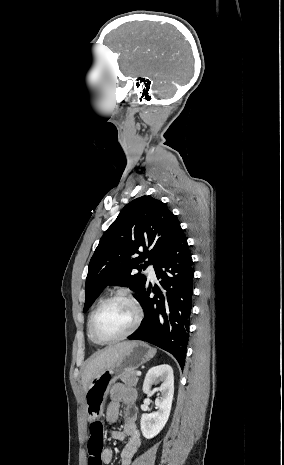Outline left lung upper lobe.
<instances>
[{"label":"left lung upper lobe","instance_id":"1","mask_svg":"<svg viewBox=\"0 0 284 465\" xmlns=\"http://www.w3.org/2000/svg\"><path fill=\"white\" fill-rule=\"evenodd\" d=\"M179 228L177 217L160 200L142 196L128 203L101 237L90 260L83 311L88 310L107 285L130 287L138 293L135 295L138 299L147 279L132 270H145L155 264L170 247Z\"/></svg>","mask_w":284,"mask_h":465}]
</instances>
